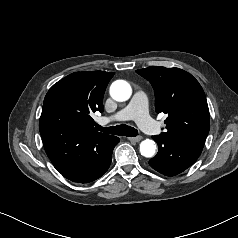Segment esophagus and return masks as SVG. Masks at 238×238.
Here are the masks:
<instances>
[{
    "mask_svg": "<svg viewBox=\"0 0 238 238\" xmlns=\"http://www.w3.org/2000/svg\"><path fill=\"white\" fill-rule=\"evenodd\" d=\"M128 140L129 141H132V142H139L142 140V137L141 136H137V137H128Z\"/></svg>",
    "mask_w": 238,
    "mask_h": 238,
    "instance_id": "34e87169",
    "label": "esophagus"
}]
</instances>
